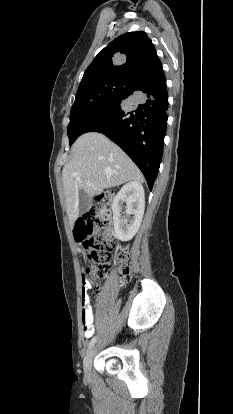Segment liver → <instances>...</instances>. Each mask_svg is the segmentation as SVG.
Instances as JSON below:
<instances>
[{
  "label": "liver",
  "mask_w": 233,
  "mask_h": 414,
  "mask_svg": "<svg viewBox=\"0 0 233 414\" xmlns=\"http://www.w3.org/2000/svg\"><path fill=\"white\" fill-rule=\"evenodd\" d=\"M71 153L72 159L62 170V181L72 226L79 217L80 190L93 198L107 188L144 180L126 153L101 133L81 135L73 144Z\"/></svg>",
  "instance_id": "1"
}]
</instances>
